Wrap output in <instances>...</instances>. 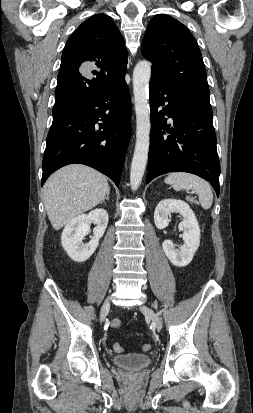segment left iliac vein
<instances>
[{
    "instance_id": "4c4485c4",
    "label": "left iliac vein",
    "mask_w": 253,
    "mask_h": 413,
    "mask_svg": "<svg viewBox=\"0 0 253 413\" xmlns=\"http://www.w3.org/2000/svg\"><path fill=\"white\" fill-rule=\"evenodd\" d=\"M140 310L143 314H145L147 317L151 319L153 325L156 327L157 330L162 329L161 319L151 308H149L146 305H141Z\"/></svg>"
}]
</instances>
